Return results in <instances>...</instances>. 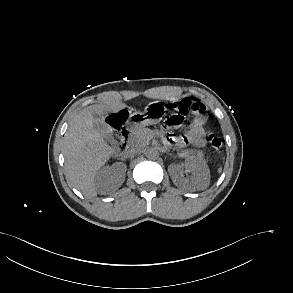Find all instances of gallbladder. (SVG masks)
Masks as SVG:
<instances>
[{
    "label": "gallbladder",
    "instance_id": "obj_1",
    "mask_svg": "<svg viewBox=\"0 0 293 293\" xmlns=\"http://www.w3.org/2000/svg\"><path fill=\"white\" fill-rule=\"evenodd\" d=\"M101 116V113H97L94 115V126L96 130L104 137L105 140L113 142V131L111 127L102 120Z\"/></svg>",
    "mask_w": 293,
    "mask_h": 293
}]
</instances>
